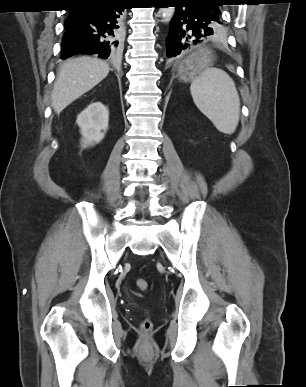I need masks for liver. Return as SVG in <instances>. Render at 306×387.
Returning a JSON list of instances; mask_svg holds the SVG:
<instances>
[{"instance_id": "1", "label": "liver", "mask_w": 306, "mask_h": 387, "mask_svg": "<svg viewBox=\"0 0 306 387\" xmlns=\"http://www.w3.org/2000/svg\"><path fill=\"white\" fill-rule=\"evenodd\" d=\"M105 61L88 56L65 61L58 73L52 91V107L60 113L69 104L93 89L109 73Z\"/></svg>"}]
</instances>
